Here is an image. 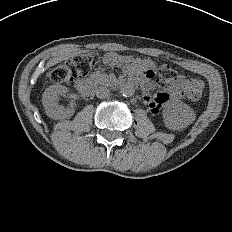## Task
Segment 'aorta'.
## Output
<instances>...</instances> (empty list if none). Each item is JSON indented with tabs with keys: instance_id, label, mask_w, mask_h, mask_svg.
Instances as JSON below:
<instances>
[{
	"instance_id": "aorta-1",
	"label": "aorta",
	"mask_w": 232,
	"mask_h": 232,
	"mask_svg": "<svg viewBox=\"0 0 232 232\" xmlns=\"http://www.w3.org/2000/svg\"><path fill=\"white\" fill-rule=\"evenodd\" d=\"M120 93L121 95H123L124 97H131L134 95L135 93V88L133 85L131 84H124L121 88H120Z\"/></svg>"
}]
</instances>
